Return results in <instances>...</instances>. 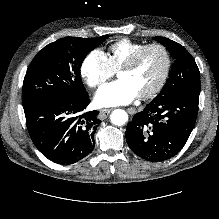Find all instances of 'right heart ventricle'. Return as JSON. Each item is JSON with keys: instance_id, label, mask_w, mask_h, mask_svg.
<instances>
[{"instance_id": "right-heart-ventricle-1", "label": "right heart ventricle", "mask_w": 219, "mask_h": 219, "mask_svg": "<svg viewBox=\"0 0 219 219\" xmlns=\"http://www.w3.org/2000/svg\"><path fill=\"white\" fill-rule=\"evenodd\" d=\"M144 45L142 42L133 41L128 38L118 39L110 44L106 55L113 70L119 69L132 54Z\"/></svg>"}]
</instances>
